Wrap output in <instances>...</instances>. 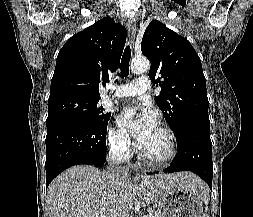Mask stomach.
Wrapping results in <instances>:
<instances>
[{
	"mask_svg": "<svg viewBox=\"0 0 253 217\" xmlns=\"http://www.w3.org/2000/svg\"><path fill=\"white\" fill-rule=\"evenodd\" d=\"M203 194L199 190L173 187L158 199L160 217H203Z\"/></svg>",
	"mask_w": 253,
	"mask_h": 217,
	"instance_id": "1",
	"label": "stomach"
}]
</instances>
